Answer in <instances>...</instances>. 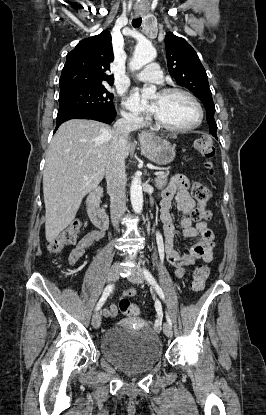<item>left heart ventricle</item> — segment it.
<instances>
[{
	"instance_id": "left-heart-ventricle-1",
	"label": "left heart ventricle",
	"mask_w": 266,
	"mask_h": 415,
	"mask_svg": "<svg viewBox=\"0 0 266 415\" xmlns=\"http://www.w3.org/2000/svg\"><path fill=\"white\" fill-rule=\"evenodd\" d=\"M155 115L165 124L186 127L196 122L198 112L195 105L184 95L157 94L152 99Z\"/></svg>"
}]
</instances>
